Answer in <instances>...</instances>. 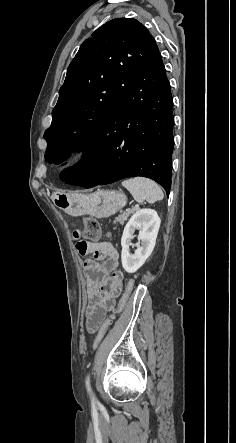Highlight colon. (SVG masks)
I'll use <instances>...</instances> for the list:
<instances>
[{
	"label": "colon",
	"mask_w": 236,
	"mask_h": 443,
	"mask_svg": "<svg viewBox=\"0 0 236 443\" xmlns=\"http://www.w3.org/2000/svg\"><path fill=\"white\" fill-rule=\"evenodd\" d=\"M101 235H102V230H101L100 223L95 218L86 217L84 219L83 237L86 240H89L91 242H97L101 238ZM77 248L79 251L84 252V251H86L87 246L85 244H83L82 242H80L77 245ZM132 288H133V282H129L126 287L125 294L123 295V297L120 301V305L118 306V308L115 311H113L106 318V320L103 322V324L99 328V330L94 338V341L92 343V351H97L100 348L108 328L111 326L112 322L115 320L117 315L120 314L121 311L123 310Z\"/></svg>",
	"instance_id": "colon-1"
}]
</instances>
